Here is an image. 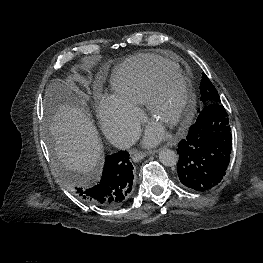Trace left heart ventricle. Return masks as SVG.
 Listing matches in <instances>:
<instances>
[{"mask_svg":"<svg viewBox=\"0 0 263 263\" xmlns=\"http://www.w3.org/2000/svg\"><path fill=\"white\" fill-rule=\"evenodd\" d=\"M182 84L174 79H165L159 88L152 119L160 126L167 129L171 121L179 113L183 103Z\"/></svg>","mask_w":263,"mask_h":263,"instance_id":"b2bd125f","label":"left heart ventricle"}]
</instances>
